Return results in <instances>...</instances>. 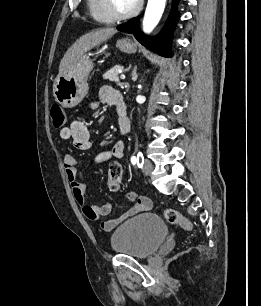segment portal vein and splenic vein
<instances>
[{
    "mask_svg": "<svg viewBox=\"0 0 261 306\" xmlns=\"http://www.w3.org/2000/svg\"><path fill=\"white\" fill-rule=\"evenodd\" d=\"M120 78H121L122 80H124V79L126 78V76H125L124 74H121V75H120Z\"/></svg>",
    "mask_w": 261,
    "mask_h": 306,
    "instance_id": "obj_1",
    "label": "portal vein and splenic vein"
}]
</instances>
